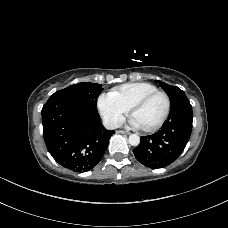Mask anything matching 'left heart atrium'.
Returning <instances> with one entry per match:
<instances>
[{
    "instance_id": "obj_1",
    "label": "left heart atrium",
    "mask_w": 228,
    "mask_h": 228,
    "mask_svg": "<svg viewBox=\"0 0 228 228\" xmlns=\"http://www.w3.org/2000/svg\"><path fill=\"white\" fill-rule=\"evenodd\" d=\"M129 122L133 127H136V128L140 127L139 124L137 123V121L133 117L130 119Z\"/></svg>"
}]
</instances>
